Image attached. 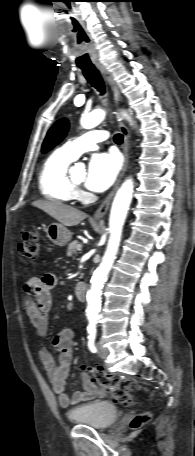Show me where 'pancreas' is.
Returning a JSON list of instances; mask_svg holds the SVG:
<instances>
[{"label": "pancreas", "mask_w": 195, "mask_h": 456, "mask_svg": "<svg viewBox=\"0 0 195 456\" xmlns=\"http://www.w3.org/2000/svg\"><path fill=\"white\" fill-rule=\"evenodd\" d=\"M78 244H79V242L74 240L68 245L67 256L71 257L73 254H75L77 252L76 247Z\"/></svg>", "instance_id": "cf45deb5"}]
</instances>
